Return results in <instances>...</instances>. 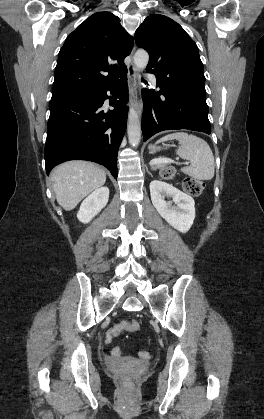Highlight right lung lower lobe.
<instances>
[{
  "label": "right lung lower lobe",
  "instance_id": "obj_1",
  "mask_svg": "<svg viewBox=\"0 0 264 419\" xmlns=\"http://www.w3.org/2000/svg\"><path fill=\"white\" fill-rule=\"evenodd\" d=\"M127 72L102 89L66 97H52L49 103L45 168L47 174L68 160H88L104 165L117 178V153L126 130ZM113 110H105L107 91Z\"/></svg>",
  "mask_w": 264,
  "mask_h": 419
}]
</instances>
